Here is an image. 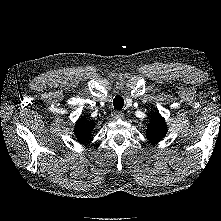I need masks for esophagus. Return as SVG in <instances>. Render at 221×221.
<instances>
[{"mask_svg":"<svg viewBox=\"0 0 221 221\" xmlns=\"http://www.w3.org/2000/svg\"><path fill=\"white\" fill-rule=\"evenodd\" d=\"M114 118L115 119H123L124 118V113L122 111H115L114 112Z\"/></svg>","mask_w":221,"mask_h":221,"instance_id":"1","label":"esophagus"}]
</instances>
